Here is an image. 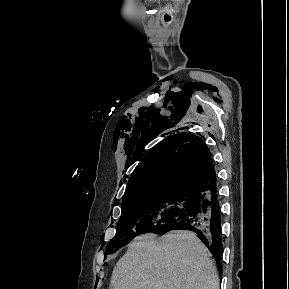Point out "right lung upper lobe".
I'll use <instances>...</instances> for the list:
<instances>
[{
    "label": "right lung upper lobe",
    "instance_id": "obj_1",
    "mask_svg": "<svg viewBox=\"0 0 289 289\" xmlns=\"http://www.w3.org/2000/svg\"><path fill=\"white\" fill-rule=\"evenodd\" d=\"M216 183L211 152L200 137L181 133L154 147L131 174L123 201L167 192L200 194Z\"/></svg>",
    "mask_w": 289,
    "mask_h": 289
}]
</instances>
